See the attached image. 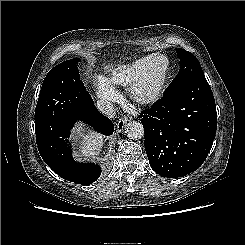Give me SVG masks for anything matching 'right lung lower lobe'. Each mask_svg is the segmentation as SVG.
<instances>
[{
  "mask_svg": "<svg viewBox=\"0 0 245 245\" xmlns=\"http://www.w3.org/2000/svg\"><path fill=\"white\" fill-rule=\"evenodd\" d=\"M91 109L85 116L35 120L36 143L43 160L60 177L82 185L96 181L101 175V167L77 163L72 158L69 137L74 123L81 120L104 135L114 131L112 121L101 114L94 103Z\"/></svg>",
  "mask_w": 245,
  "mask_h": 245,
  "instance_id": "98d812e1",
  "label": "right lung lower lobe"
}]
</instances>
